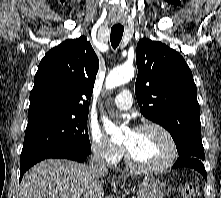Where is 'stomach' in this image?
<instances>
[{"label":"stomach","instance_id":"1","mask_svg":"<svg viewBox=\"0 0 221 198\" xmlns=\"http://www.w3.org/2000/svg\"><path fill=\"white\" fill-rule=\"evenodd\" d=\"M164 195V184L155 178L144 179L136 188L137 198H163Z\"/></svg>","mask_w":221,"mask_h":198}]
</instances>
